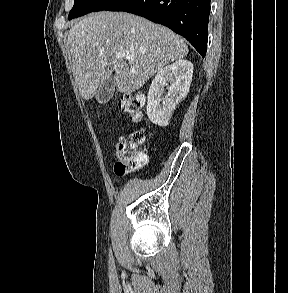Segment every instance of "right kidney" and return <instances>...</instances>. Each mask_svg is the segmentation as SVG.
Wrapping results in <instances>:
<instances>
[{
	"instance_id": "right-kidney-1",
	"label": "right kidney",
	"mask_w": 288,
	"mask_h": 293,
	"mask_svg": "<svg viewBox=\"0 0 288 293\" xmlns=\"http://www.w3.org/2000/svg\"><path fill=\"white\" fill-rule=\"evenodd\" d=\"M192 75L193 64L187 60H178L158 71L147 97V115L152 123L168 125L172 112L189 91ZM165 87L168 93L163 96Z\"/></svg>"
}]
</instances>
